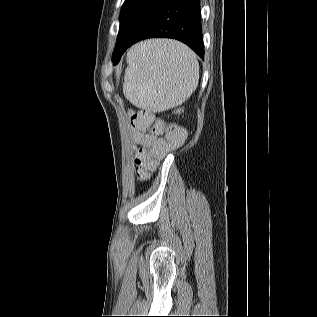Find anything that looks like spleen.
<instances>
[{
  "mask_svg": "<svg viewBox=\"0 0 317 317\" xmlns=\"http://www.w3.org/2000/svg\"><path fill=\"white\" fill-rule=\"evenodd\" d=\"M123 93L136 107L161 112L185 102L199 81L196 54L172 40L153 39L127 54Z\"/></svg>",
  "mask_w": 317,
  "mask_h": 317,
  "instance_id": "obj_1",
  "label": "spleen"
}]
</instances>
